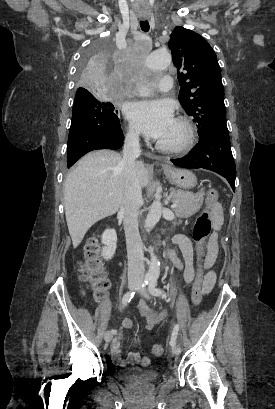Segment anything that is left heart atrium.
<instances>
[{
    "label": "left heart atrium",
    "mask_w": 275,
    "mask_h": 409,
    "mask_svg": "<svg viewBox=\"0 0 275 409\" xmlns=\"http://www.w3.org/2000/svg\"><path fill=\"white\" fill-rule=\"evenodd\" d=\"M125 110L142 132L154 139L161 136L174 121L172 108L164 101L132 102Z\"/></svg>",
    "instance_id": "39dd6f15"
}]
</instances>
